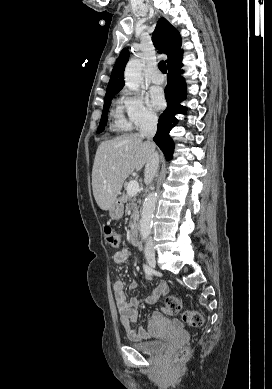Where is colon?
<instances>
[{"instance_id":"5ec220e1","label":"colon","mask_w":272,"mask_h":389,"mask_svg":"<svg viewBox=\"0 0 272 389\" xmlns=\"http://www.w3.org/2000/svg\"><path fill=\"white\" fill-rule=\"evenodd\" d=\"M104 237L106 242L112 247H118L120 245L119 235L109 226L104 228ZM165 311L168 314H174L181 312L182 320L192 326L200 327L203 324L202 315L193 310H183L181 301L174 296H169L165 300ZM189 355V349L184 347L177 351L174 355L175 362H183Z\"/></svg>"}]
</instances>
